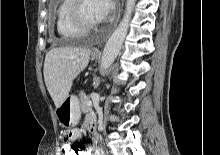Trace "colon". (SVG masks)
I'll use <instances>...</instances> for the list:
<instances>
[{"label":"colon","instance_id":"1","mask_svg":"<svg viewBox=\"0 0 220 155\" xmlns=\"http://www.w3.org/2000/svg\"><path fill=\"white\" fill-rule=\"evenodd\" d=\"M62 155H82L83 147L79 142H70L69 146H61Z\"/></svg>","mask_w":220,"mask_h":155}]
</instances>
